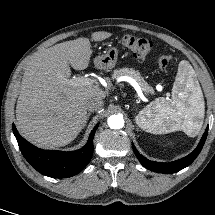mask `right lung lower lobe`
Returning <instances> with one entry per match:
<instances>
[{
    "mask_svg": "<svg viewBox=\"0 0 215 215\" xmlns=\"http://www.w3.org/2000/svg\"><path fill=\"white\" fill-rule=\"evenodd\" d=\"M99 124L90 133L87 144L76 151L42 150L26 141L12 125L19 148L26 160L38 172L53 178H65L78 174L89 163L93 153V137Z\"/></svg>",
    "mask_w": 215,
    "mask_h": 215,
    "instance_id": "1",
    "label": "right lung lower lobe"
}]
</instances>
